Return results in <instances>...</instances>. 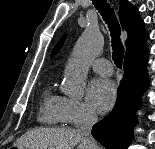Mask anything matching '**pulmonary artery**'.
<instances>
[{"label": "pulmonary artery", "instance_id": "pulmonary-artery-1", "mask_svg": "<svg viewBox=\"0 0 155 149\" xmlns=\"http://www.w3.org/2000/svg\"><path fill=\"white\" fill-rule=\"evenodd\" d=\"M95 72L104 76H110L113 73V67L110 61L105 58H99L91 63Z\"/></svg>", "mask_w": 155, "mask_h": 149}]
</instances>
